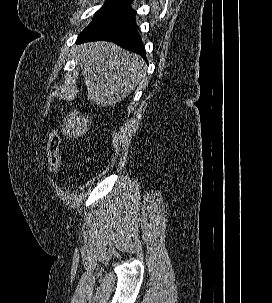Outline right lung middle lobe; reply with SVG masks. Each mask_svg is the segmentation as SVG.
<instances>
[{"mask_svg":"<svg viewBox=\"0 0 272 303\" xmlns=\"http://www.w3.org/2000/svg\"><path fill=\"white\" fill-rule=\"evenodd\" d=\"M135 15V11L129 3L108 0L96 13L95 18L82 33L90 32L94 29L108 25L127 17Z\"/></svg>","mask_w":272,"mask_h":303,"instance_id":"right-lung-middle-lobe-1","label":"right lung middle lobe"}]
</instances>
